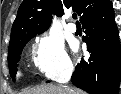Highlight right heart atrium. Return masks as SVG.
<instances>
[{
    "mask_svg": "<svg viewBox=\"0 0 121 94\" xmlns=\"http://www.w3.org/2000/svg\"><path fill=\"white\" fill-rule=\"evenodd\" d=\"M33 60L35 68L49 78H66L73 71L63 40L54 32L38 39L33 49Z\"/></svg>",
    "mask_w": 121,
    "mask_h": 94,
    "instance_id": "d8ad5b80",
    "label": "right heart atrium"
}]
</instances>
